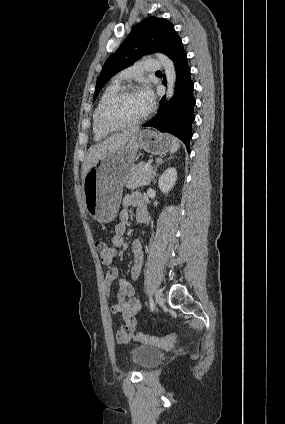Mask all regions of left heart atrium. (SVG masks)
<instances>
[{"label":"left heart atrium","mask_w":285,"mask_h":424,"mask_svg":"<svg viewBox=\"0 0 285 424\" xmlns=\"http://www.w3.org/2000/svg\"><path fill=\"white\" fill-rule=\"evenodd\" d=\"M138 95L145 107V109L148 111L154 103V94L152 89L148 86L145 85L139 92Z\"/></svg>","instance_id":"left-heart-atrium-1"}]
</instances>
